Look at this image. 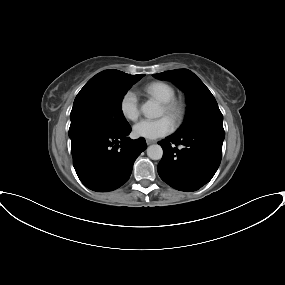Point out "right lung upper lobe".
Returning a JSON list of instances; mask_svg holds the SVG:
<instances>
[{
    "instance_id": "right-lung-upper-lobe-1",
    "label": "right lung upper lobe",
    "mask_w": 285,
    "mask_h": 285,
    "mask_svg": "<svg viewBox=\"0 0 285 285\" xmlns=\"http://www.w3.org/2000/svg\"><path fill=\"white\" fill-rule=\"evenodd\" d=\"M122 74H126V73H123L119 70H105V71H102L98 74H96L93 78H99V77H105V76H114V75H122Z\"/></svg>"
}]
</instances>
